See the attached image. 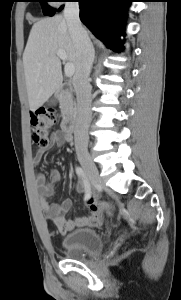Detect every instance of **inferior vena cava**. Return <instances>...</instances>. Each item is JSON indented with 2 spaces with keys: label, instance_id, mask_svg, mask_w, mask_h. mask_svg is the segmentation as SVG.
Returning a JSON list of instances; mask_svg holds the SVG:
<instances>
[{
  "label": "inferior vena cava",
  "instance_id": "inferior-vena-cava-1",
  "mask_svg": "<svg viewBox=\"0 0 181 300\" xmlns=\"http://www.w3.org/2000/svg\"><path fill=\"white\" fill-rule=\"evenodd\" d=\"M67 22L77 56L73 86L77 97L74 140L76 152H86L88 128L91 122V85L89 76L94 62V48L79 18L78 2H68L64 8Z\"/></svg>",
  "mask_w": 181,
  "mask_h": 300
}]
</instances>
